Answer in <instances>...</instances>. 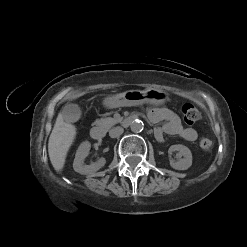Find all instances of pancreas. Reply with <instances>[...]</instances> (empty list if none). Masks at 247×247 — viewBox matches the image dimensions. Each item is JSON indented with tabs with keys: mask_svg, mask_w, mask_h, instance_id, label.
Listing matches in <instances>:
<instances>
[{
	"mask_svg": "<svg viewBox=\"0 0 247 247\" xmlns=\"http://www.w3.org/2000/svg\"><path fill=\"white\" fill-rule=\"evenodd\" d=\"M120 121H121L120 117H114V118L107 117V118H101L100 120H96L95 123L99 126L104 127L105 129H109Z\"/></svg>",
	"mask_w": 247,
	"mask_h": 247,
	"instance_id": "obj_1",
	"label": "pancreas"
}]
</instances>
